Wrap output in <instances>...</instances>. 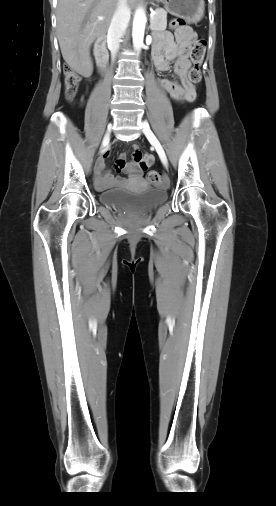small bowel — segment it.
<instances>
[{"label":"small bowel","mask_w":276,"mask_h":506,"mask_svg":"<svg viewBox=\"0 0 276 506\" xmlns=\"http://www.w3.org/2000/svg\"><path fill=\"white\" fill-rule=\"evenodd\" d=\"M194 39L195 33L188 27L175 32V41L169 34L160 35L152 48L153 64L158 71H168L170 69V62L176 61L174 73L181 83L170 79H160L158 82L162 89L177 101L192 102L196 97L195 87L186 77L191 64L188 58V51ZM139 155L141 159L138 160L136 158ZM132 156L133 161L127 162L126 154H120L115 167L117 170L127 174L130 180H138L142 177L143 171L153 164L154 157L150 154L142 156L137 145L133 146ZM124 182L125 179L123 177L104 173V162H99L96 173L98 188L105 189L119 186Z\"/></svg>","instance_id":"small-bowel-1"}]
</instances>
